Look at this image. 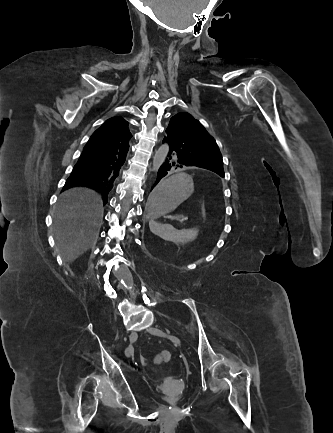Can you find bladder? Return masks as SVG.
Segmentation results:
<instances>
[{
  "instance_id": "1",
  "label": "bladder",
  "mask_w": 333,
  "mask_h": 433,
  "mask_svg": "<svg viewBox=\"0 0 333 433\" xmlns=\"http://www.w3.org/2000/svg\"><path fill=\"white\" fill-rule=\"evenodd\" d=\"M162 396L167 402H177L182 398V395L170 393H164Z\"/></svg>"
}]
</instances>
